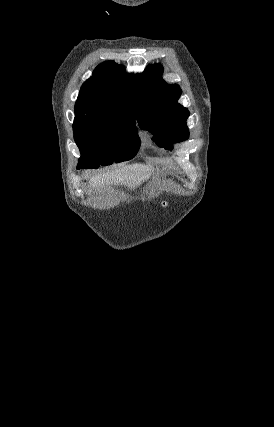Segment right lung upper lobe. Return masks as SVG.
Masks as SVG:
<instances>
[{"mask_svg":"<svg viewBox=\"0 0 274 427\" xmlns=\"http://www.w3.org/2000/svg\"><path fill=\"white\" fill-rule=\"evenodd\" d=\"M132 74L114 61H105L81 87L75 113L126 110L137 113L131 96Z\"/></svg>","mask_w":274,"mask_h":427,"instance_id":"1","label":"right lung upper lobe"}]
</instances>
